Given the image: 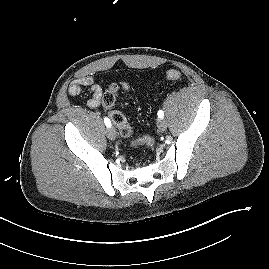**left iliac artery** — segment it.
I'll return each instance as SVG.
<instances>
[{
  "label": "left iliac artery",
  "mask_w": 269,
  "mask_h": 269,
  "mask_svg": "<svg viewBox=\"0 0 269 269\" xmlns=\"http://www.w3.org/2000/svg\"><path fill=\"white\" fill-rule=\"evenodd\" d=\"M159 118H163L164 117V112L162 110H159L157 113Z\"/></svg>",
  "instance_id": "obj_1"
}]
</instances>
